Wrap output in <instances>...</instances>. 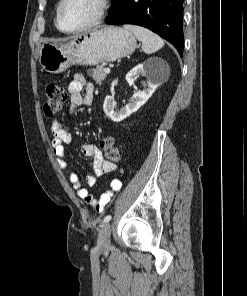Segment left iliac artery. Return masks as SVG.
<instances>
[{"label":"left iliac artery","mask_w":247,"mask_h":296,"mask_svg":"<svg viewBox=\"0 0 247 296\" xmlns=\"http://www.w3.org/2000/svg\"><path fill=\"white\" fill-rule=\"evenodd\" d=\"M111 218H112L111 215L105 216L104 219H103V223L109 222L111 220Z\"/></svg>","instance_id":"obj_1"}]
</instances>
